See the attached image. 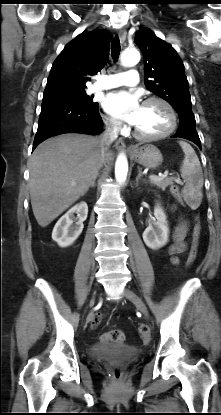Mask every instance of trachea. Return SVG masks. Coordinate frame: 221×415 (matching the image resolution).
I'll list each match as a JSON object with an SVG mask.
<instances>
[{
  "instance_id": "trachea-1",
  "label": "trachea",
  "mask_w": 221,
  "mask_h": 415,
  "mask_svg": "<svg viewBox=\"0 0 221 415\" xmlns=\"http://www.w3.org/2000/svg\"><path fill=\"white\" fill-rule=\"evenodd\" d=\"M120 41H119V38H118V36H116L114 39H113V41H112V43H111V54H112V57H113V59L116 61L117 59H118V57H119V54H120Z\"/></svg>"
}]
</instances>
